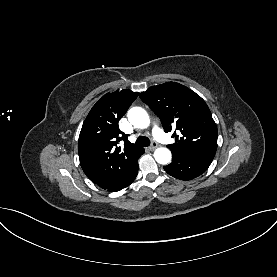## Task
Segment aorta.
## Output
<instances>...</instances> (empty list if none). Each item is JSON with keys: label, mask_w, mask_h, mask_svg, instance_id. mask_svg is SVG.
I'll return each mask as SVG.
<instances>
[{"label": "aorta", "mask_w": 277, "mask_h": 277, "mask_svg": "<svg viewBox=\"0 0 277 277\" xmlns=\"http://www.w3.org/2000/svg\"><path fill=\"white\" fill-rule=\"evenodd\" d=\"M127 117L135 128L144 129L150 124L149 115L141 107L131 108ZM154 158L159 164L166 165L171 161V152L165 147L157 148L154 152Z\"/></svg>", "instance_id": "1"}]
</instances>
